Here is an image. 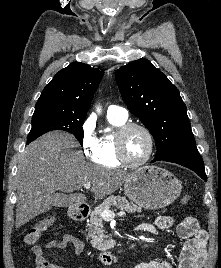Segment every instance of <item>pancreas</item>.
I'll list each match as a JSON object with an SVG mask.
<instances>
[{"label": "pancreas", "instance_id": "cf45deb5", "mask_svg": "<svg viewBox=\"0 0 221 268\" xmlns=\"http://www.w3.org/2000/svg\"><path fill=\"white\" fill-rule=\"evenodd\" d=\"M117 203H121L120 208L124 209L128 213L141 212V207L130 203L126 197L123 196H109L107 199L103 201V203L97 207L90 214V223L86 229L87 231V239H91L90 243L92 247L97 248L99 250H107L110 248V240H108V236L104 234L103 230V218L101 217V212L104 209H109L111 207L117 206Z\"/></svg>", "mask_w": 221, "mask_h": 268}]
</instances>
